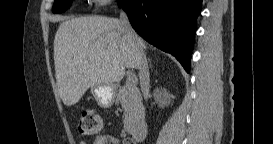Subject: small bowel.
<instances>
[{"mask_svg": "<svg viewBox=\"0 0 273 144\" xmlns=\"http://www.w3.org/2000/svg\"><path fill=\"white\" fill-rule=\"evenodd\" d=\"M116 143H119V141L108 135H99L96 137L94 141V144H116ZM124 143H131V142L125 141ZM81 144H86V142L82 141Z\"/></svg>", "mask_w": 273, "mask_h": 144, "instance_id": "1", "label": "small bowel"}]
</instances>
